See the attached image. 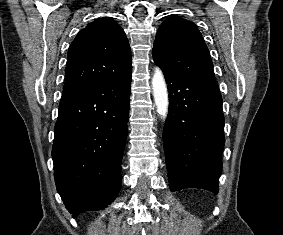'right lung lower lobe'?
Returning a JSON list of instances; mask_svg holds the SVG:
<instances>
[{
	"label": "right lung lower lobe",
	"instance_id": "obj_1",
	"mask_svg": "<svg viewBox=\"0 0 283 235\" xmlns=\"http://www.w3.org/2000/svg\"><path fill=\"white\" fill-rule=\"evenodd\" d=\"M131 73L63 95L52 158L57 191L73 217L106 208L121 187Z\"/></svg>",
	"mask_w": 283,
	"mask_h": 235
}]
</instances>
